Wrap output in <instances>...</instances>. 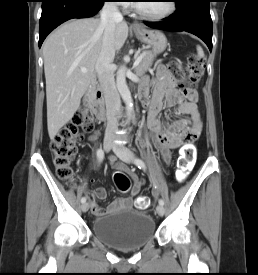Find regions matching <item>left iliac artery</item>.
Masks as SVG:
<instances>
[{
	"label": "left iliac artery",
	"mask_w": 258,
	"mask_h": 275,
	"mask_svg": "<svg viewBox=\"0 0 258 275\" xmlns=\"http://www.w3.org/2000/svg\"><path fill=\"white\" fill-rule=\"evenodd\" d=\"M134 163H135V165H136L139 169H143V170L146 169V165H145L144 161H142L141 159L135 158V159H134ZM159 204H160V205H164V200H163V199H160V200H159Z\"/></svg>",
	"instance_id": "44dca946"
}]
</instances>
